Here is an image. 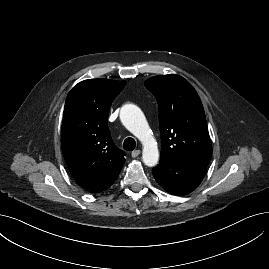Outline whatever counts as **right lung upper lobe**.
<instances>
[{"label": "right lung upper lobe", "instance_id": "right-lung-upper-lobe-1", "mask_svg": "<svg viewBox=\"0 0 269 269\" xmlns=\"http://www.w3.org/2000/svg\"><path fill=\"white\" fill-rule=\"evenodd\" d=\"M125 85L103 78L85 80L67 96L62 152L73 178L88 191L109 188L125 163V152L114 145L107 125L109 108Z\"/></svg>", "mask_w": 269, "mask_h": 269}]
</instances>
